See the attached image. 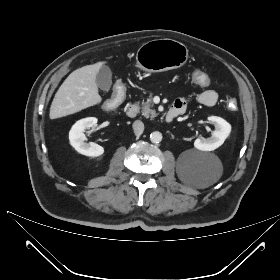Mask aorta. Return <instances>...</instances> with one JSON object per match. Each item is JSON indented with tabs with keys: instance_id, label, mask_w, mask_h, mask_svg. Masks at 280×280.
Returning <instances> with one entry per match:
<instances>
[{
	"instance_id": "aorta-1",
	"label": "aorta",
	"mask_w": 280,
	"mask_h": 280,
	"mask_svg": "<svg viewBox=\"0 0 280 280\" xmlns=\"http://www.w3.org/2000/svg\"><path fill=\"white\" fill-rule=\"evenodd\" d=\"M150 140L152 143H159L162 140V134L159 131H154L150 134Z\"/></svg>"
}]
</instances>
